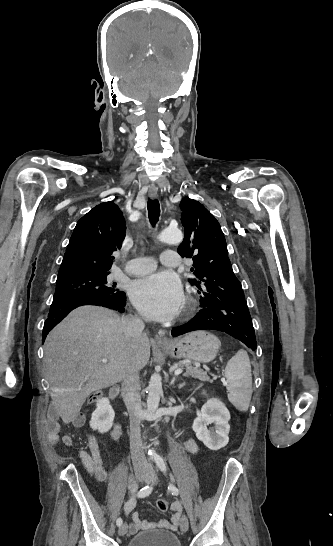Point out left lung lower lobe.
Segmentation results:
<instances>
[{"label":"left lung lower lobe","mask_w":333,"mask_h":546,"mask_svg":"<svg viewBox=\"0 0 333 546\" xmlns=\"http://www.w3.org/2000/svg\"><path fill=\"white\" fill-rule=\"evenodd\" d=\"M201 310L188 323L172 330V336L195 331L225 332L255 350L256 338L246 300L221 301L211 296L200 297Z\"/></svg>","instance_id":"1"}]
</instances>
